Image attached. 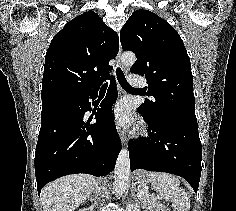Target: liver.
I'll use <instances>...</instances> for the list:
<instances>
[{"label": "liver", "instance_id": "liver-1", "mask_svg": "<svg viewBox=\"0 0 236 211\" xmlns=\"http://www.w3.org/2000/svg\"><path fill=\"white\" fill-rule=\"evenodd\" d=\"M96 180L88 174H73L47 184L41 191L43 211H74L94 191Z\"/></svg>", "mask_w": 236, "mask_h": 211}]
</instances>
